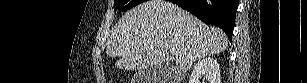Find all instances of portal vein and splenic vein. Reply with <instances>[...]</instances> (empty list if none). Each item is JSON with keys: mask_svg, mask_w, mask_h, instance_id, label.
Wrapping results in <instances>:
<instances>
[{"mask_svg": "<svg viewBox=\"0 0 307 83\" xmlns=\"http://www.w3.org/2000/svg\"><path fill=\"white\" fill-rule=\"evenodd\" d=\"M169 53H170L172 56H174V55L177 53V51H176L175 49H170V50H169Z\"/></svg>", "mask_w": 307, "mask_h": 83, "instance_id": "1", "label": "portal vein and splenic vein"}]
</instances>
